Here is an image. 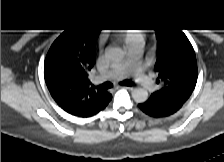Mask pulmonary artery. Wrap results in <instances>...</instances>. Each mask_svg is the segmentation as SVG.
<instances>
[{
    "instance_id": "1",
    "label": "pulmonary artery",
    "mask_w": 224,
    "mask_h": 162,
    "mask_svg": "<svg viewBox=\"0 0 224 162\" xmlns=\"http://www.w3.org/2000/svg\"><path fill=\"white\" fill-rule=\"evenodd\" d=\"M141 57V45L136 44L132 47L124 64L118 68L109 70L103 77H100V79L103 81H119L126 77H131L137 84L147 90L156 88L154 81L144 72Z\"/></svg>"
}]
</instances>
